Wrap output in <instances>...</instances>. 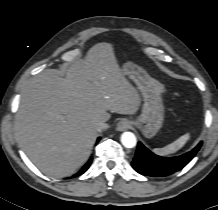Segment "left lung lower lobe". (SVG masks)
Instances as JSON below:
<instances>
[{"label":"left lung lower lobe","mask_w":218,"mask_h":210,"mask_svg":"<svg viewBox=\"0 0 218 210\" xmlns=\"http://www.w3.org/2000/svg\"><path fill=\"white\" fill-rule=\"evenodd\" d=\"M201 145L202 142L183 155L167 158L153 154L141 142H138L131 165L135 171L145 176H168L185 167L194 158Z\"/></svg>","instance_id":"obj_1"}]
</instances>
